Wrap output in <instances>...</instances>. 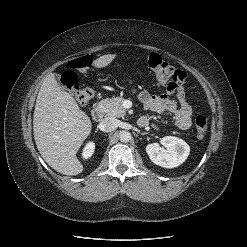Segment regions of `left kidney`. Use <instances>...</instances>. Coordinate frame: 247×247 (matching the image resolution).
I'll list each match as a JSON object with an SVG mask.
<instances>
[{
  "label": "left kidney",
  "mask_w": 247,
  "mask_h": 247,
  "mask_svg": "<svg viewBox=\"0 0 247 247\" xmlns=\"http://www.w3.org/2000/svg\"><path fill=\"white\" fill-rule=\"evenodd\" d=\"M160 142L166 149L161 148L158 143L146 146L150 160L156 165L164 168H175L188 158L190 147L184 140L174 136H166Z\"/></svg>",
  "instance_id": "left-kidney-1"
}]
</instances>
